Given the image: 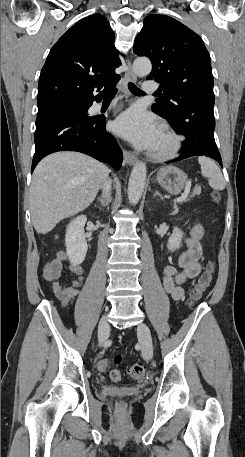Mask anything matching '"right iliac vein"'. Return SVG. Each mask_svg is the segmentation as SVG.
Wrapping results in <instances>:
<instances>
[{
    "instance_id": "right-iliac-vein-1",
    "label": "right iliac vein",
    "mask_w": 245,
    "mask_h": 457,
    "mask_svg": "<svg viewBox=\"0 0 245 457\" xmlns=\"http://www.w3.org/2000/svg\"><path fill=\"white\" fill-rule=\"evenodd\" d=\"M108 335H109V324L107 322V317L103 316L102 319L100 320L99 326H98V339H99V344L101 346L106 341Z\"/></svg>"
}]
</instances>
